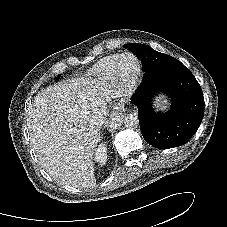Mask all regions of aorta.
Here are the masks:
<instances>
[{
  "mask_svg": "<svg viewBox=\"0 0 227 227\" xmlns=\"http://www.w3.org/2000/svg\"><path fill=\"white\" fill-rule=\"evenodd\" d=\"M109 122L113 126H119L122 123L128 128H137L139 126V119L136 114L124 116L120 111L111 112Z\"/></svg>",
  "mask_w": 227,
  "mask_h": 227,
  "instance_id": "aorta-1",
  "label": "aorta"
}]
</instances>
